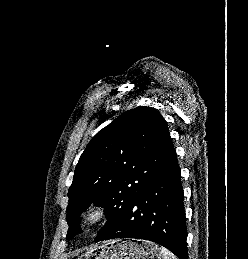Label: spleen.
Returning <instances> with one entry per match:
<instances>
[{"instance_id":"1","label":"spleen","mask_w":248,"mask_h":259,"mask_svg":"<svg viewBox=\"0 0 248 259\" xmlns=\"http://www.w3.org/2000/svg\"><path fill=\"white\" fill-rule=\"evenodd\" d=\"M160 252L163 259H178L172 252H170L167 248L163 246L160 247Z\"/></svg>"}]
</instances>
